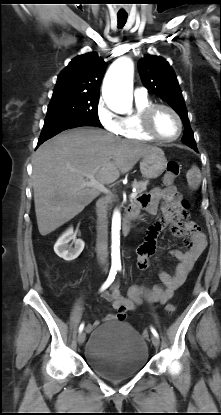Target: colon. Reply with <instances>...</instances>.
Masks as SVG:
<instances>
[{"instance_id":"5ec220e1","label":"colon","mask_w":221,"mask_h":415,"mask_svg":"<svg viewBox=\"0 0 221 415\" xmlns=\"http://www.w3.org/2000/svg\"><path fill=\"white\" fill-rule=\"evenodd\" d=\"M180 173V164L176 161H169L166 165V172L164 176V182L166 185H171L175 178ZM185 202V207H188V210L191 208V204L188 200H182ZM176 306L172 303H169L165 306V312L171 314L175 311ZM143 335L147 337L149 335L148 331H144Z\"/></svg>"}]
</instances>
